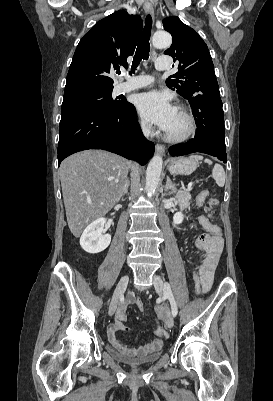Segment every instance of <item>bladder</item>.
I'll return each instance as SVG.
<instances>
[{
    "label": "bladder",
    "mask_w": 273,
    "mask_h": 401,
    "mask_svg": "<svg viewBox=\"0 0 273 401\" xmlns=\"http://www.w3.org/2000/svg\"><path fill=\"white\" fill-rule=\"evenodd\" d=\"M106 351L108 352L109 356L122 364L131 366V367H139V366H144V365H150L154 362H156L161 354H162V350L158 349L157 351L153 352L150 355H147L143 358L140 359H132V358H128L125 355L119 353L117 350H115L112 346L107 345L106 346Z\"/></svg>",
    "instance_id": "obj_1"
}]
</instances>
